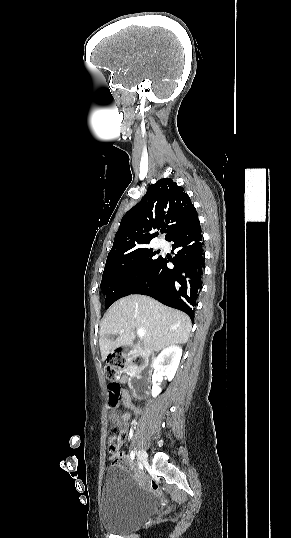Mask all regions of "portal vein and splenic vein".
Here are the masks:
<instances>
[{
	"label": "portal vein and splenic vein",
	"mask_w": 291,
	"mask_h": 538,
	"mask_svg": "<svg viewBox=\"0 0 291 538\" xmlns=\"http://www.w3.org/2000/svg\"><path fill=\"white\" fill-rule=\"evenodd\" d=\"M124 332V329H121L120 330V333H123ZM137 335L139 338H142L144 335H145V330L144 329H137Z\"/></svg>",
	"instance_id": "portal-vein-and-splenic-vein-1"
}]
</instances>
